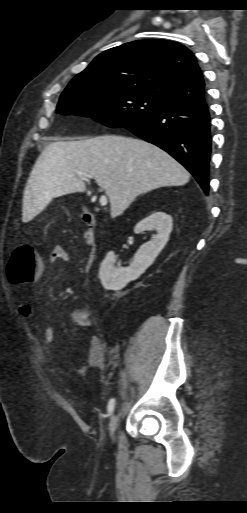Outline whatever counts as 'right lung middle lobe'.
<instances>
[{
    "label": "right lung middle lobe",
    "instance_id": "1",
    "mask_svg": "<svg viewBox=\"0 0 247 513\" xmlns=\"http://www.w3.org/2000/svg\"><path fill=\"white\" fill-rule=\"evenodd\" d=\"M168 105L160 99L126 88L71 81L60 96L56 112L92 116L109 127L126 128L142 122Z\"/></svg>",
    "mask_w": 247,
    "mask_h": 513
}]
</instances>
